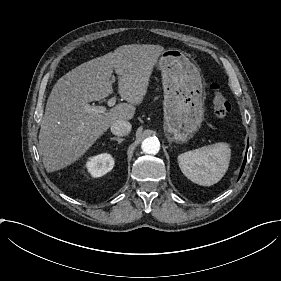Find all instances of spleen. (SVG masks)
Wrapping results in <instances>:
<instances>
[{
    "label": "spleen",
    "instance_id": "3e777b00",
    "mask_svg": "<svg viewBox=\"0 0 281 281\" xmlns=\"http://www.w3.org/2000/svg\"><path fill=\"white\" fill-rule=\"evenodd\" d=\"M230 156L229 144L220 142L182 153L178 163L182 173L192 182L199 179L204 186H210L225 175Z\"/></svg>",
    "mask_w": 281,
    "mask_h": 281
}]
</instances>
